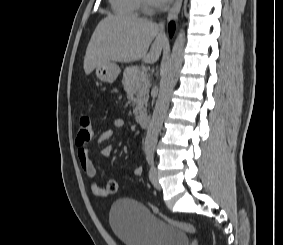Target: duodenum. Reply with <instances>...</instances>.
Here are the masks:
<instances>
[{
    "instance_id": "410a0bca",
    "label": "duodenum",
    "mask_w": 283,
    "mask_h": 245,
    "mask_svg": "<svg viewBox=\"0 0 283 245\" xmlns=\"http://www.w3.org/2000/svg\"><path fill=\"white\" fill-rule=\"evenodd\" d=\"M136 120H137L138 124L143 128L148 127V125L150 123V117L146 114H139L136 117Z\"/></svg>"
}]
</instances>
